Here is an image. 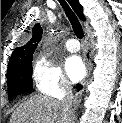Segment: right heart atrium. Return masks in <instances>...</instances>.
Segmentation results:
<instances>
[{
    "label": "right heart atrium",
    "mask_w": 122,
    "mask_h": 123,
    "mask_svg": "<svg viewBox=\"0 0 122 123\" xmlns=\"http://www.w3.org/2000/svg\"><path fill=\"white\" fill-rule=\"evenodd\" d=\"M31 75L36 90L41 94L57 98L71 91V84L61 67L45 55L36 57Z\"/></svg>",
    "instance_id": "d8ad5b80"
}]
</instances>
